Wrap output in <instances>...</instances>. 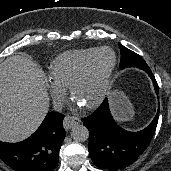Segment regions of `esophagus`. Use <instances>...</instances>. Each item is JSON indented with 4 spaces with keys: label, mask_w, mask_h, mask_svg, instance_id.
I'll return each mask as SVG.
<instances>
[{
    "label": "esophagus",
    "mask_w": 171,
    "mask_h": 171,
    "mask_svg": "<svg viewBox=\"0 0 171 171\" xmlns=\"http://www.w3.org/2000/svg\"><path fill=\"white\" fill-rule=\"evenodd\" d=\"M80 122V119L71 115H67L63 121V127L66 130L71 129L73 126L77 125Z\"/></svg>",
    "instance_id": "1"
}]
</instances>
